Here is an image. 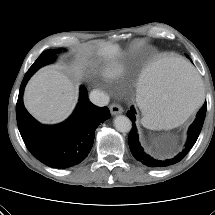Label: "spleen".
<instances>
[{
    "instance_id": "3e777b00",
    "label": "spleen",
    "mask_w": 215,
    "mask_h": 215,
    "mask_svg": "<svg viewBox=\"0 0 215 215\" xmlns=\"http://www.w3.org/2000/svg\"><path fill=\"white\" fill-rule=\"evenodd\" d=\"M204 87L190 64L180 57H165L144 70L137 103L142 124L149 129L170 128L185 121L203 99Z\"/></svg>"
}]
</instances>
